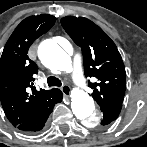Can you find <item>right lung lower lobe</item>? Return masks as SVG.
<instances>
[{"label": "right lung lower lobe", "instance_id": "obj_1", "mask_svg": "<svg viewBox=\"0 0 147 147\" xmlns=\"http://www.w3.org/2000/svg\"><path fill=\"white\" fill-rule=\"evenodd\" d=\"M63 94L62 92L58 89L54 98L52 99V102L49 103L47 106H45L39 113H37L35 116L30 118L29 120L15 126L21 131L25 132H36L41 130L49 115L51 114L53 107L56 103H59L62 101Z\"/></svg>", "mask_w": 147, "mask_h": 147}]
</instances>
